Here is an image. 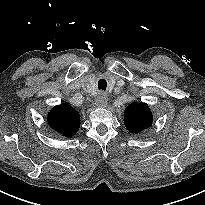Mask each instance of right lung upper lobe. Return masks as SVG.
<instances>
[{"label":"right lung upper lobe","instance_id":"obj_1","mask_svg":"<svg viewBox=\"0 0 205 205\" xmlns=\"http://www.w3.org/2000/svg\"><path fill=\"white\" fill-rule=\"evenodd\" d=\"M48 123L58 133L71 137L80 127V116L69 104H61L48 114Z\"/></svg>","mask_w":205,"mask_h":205}]
</instances>
